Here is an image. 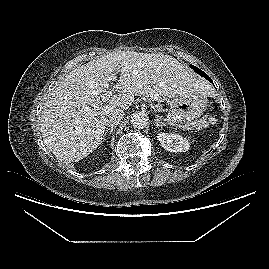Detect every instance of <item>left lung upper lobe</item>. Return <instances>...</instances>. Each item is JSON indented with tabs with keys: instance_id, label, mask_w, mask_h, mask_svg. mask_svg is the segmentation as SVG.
<instances>
[{
	"instance_id": "1",
	"label": "left lung upper lobe",
	"mask_w": 269,
	"mask_h": 269,
	"mask_svg": "<svg viewBox=\"0 0 269 269\" xmlns=\"http://www.w3.org/2000/svg\"><path fill=\"white\" fill-rule=\"evenodd\" d=\"M190 67H191L192 69L197 68V67H195V66H193V65H190Z\"/></svg>"
}]
</instances>
